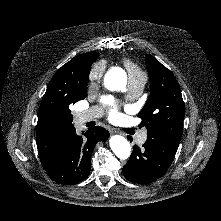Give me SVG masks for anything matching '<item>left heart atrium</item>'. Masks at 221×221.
I'll list each match as a JSON object with an SVG mask.
<instances>
[{"label": "left heart atrium", "instance_id": "obj_1", "mask_svg": "<svg viewBox=\"0 0 221 221\" xmlns=\"http://www.w3.org/2000/svg\"><path fill=\"white\" fill-rule=\"evenodd\" d=\"M103 102H104L105 104H108V105L111 106V109H110V117H111L112 119L116 118L117 115H118V112H117V109L113 106V103H112L111 99L105 97V98H103Z\"/></svg>", "mask_w": 221, "mask_h": 221}]
</instances>
